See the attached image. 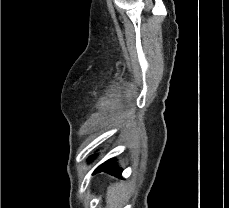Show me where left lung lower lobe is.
I'll return each instance as SVG.
<instances>
[{
    "mask_svg": "<svg viewBox=\"0 0 229 208\" xmlns=\"http://www.w3.org/2000/svg\"><path fill=\"white\" fill-rule=\"evenodd\" d=\"M115 160L116 159H110V160L104 162L95 170L94 174L99 173V172H106V173H109L111 175H115V176L120 177L122 169L117 166V163L115 162Z\"/></svg>",
    "mask_w": 229,
    "mask_h": 208,
    "instance_id": "left-lung-lower-lobe-1",
    "label": "left lung lower lobe"
}]
</instances>
